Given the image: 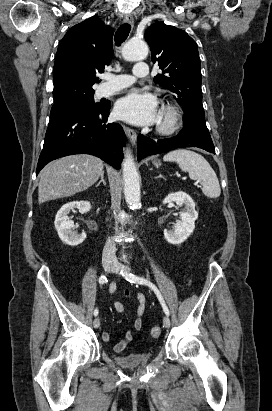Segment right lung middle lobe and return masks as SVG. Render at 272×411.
I'll return each instance as SVG.
<instances>
[{
  "instance_id": "dd1d6c3e",
  "label": "right lung middle lobe",
  "mask_w": 272,
  "mask_h": 411,
  "mask_svg": "<svg viewBox=\"0 0 272 411\" xmlns=\"http://www.w3.org/2000/svg\"><path fill=\"white\" fill-rule=\"evenodd\" d=\"M100 103L94 102V90L87 89L74 92L68 99L54 103L50 118L57 117L78 109L98 106Z\"/></svg>"
}]
</instances>
